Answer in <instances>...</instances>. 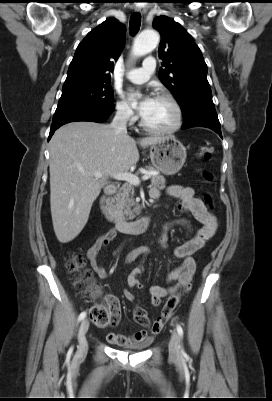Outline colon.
Segmentation results:
<instances>
[{"label": "colon", "mask_w": 272, "mask_h": 401, "mask_svg": "<svg viewBox=\"0 0 272 401\" xmlns=\"http://www.w3.org/2000/svg\"><path fill=\"white\" fill-rule=\"evenodd\" d=\"M214 152V148L211 145H203L199 149V156L204 160H209ZM203 177L206 180L212 179V174L208 171H203ZM205 201L208 205H211L212 200L210 196H206ZM85 260L80 255L72 256L67 262V269L71 273H76L78 275L76 280V286L83 293L88 292V281L90 279L91 273L84 269ZM189 284L185 285L184 291L189 289ZM181 293H176L171 295L162 310L161 315L154 321H151L147 316L146 312L139 308L135 312V319L138 323L149 326L152 324H162L165 323L171 316L173 310L176 308L180 302ZM90 318L97 326L105 327L113 324L111 310L107 305H99L91 308Z\"/></svg>", "instance_id": "5ec220e1"}]
</instances>
